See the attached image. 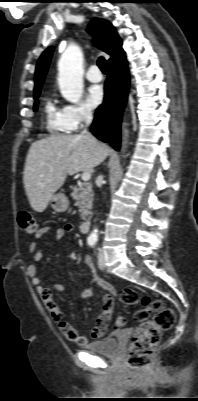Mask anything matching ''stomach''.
Here are the masks:
<instances>
[{"label":"stomach","instance_id":"1","mask_svg":"<svg viewBox=\"0 0 198 401\" xmlns=\"http://www.w3.org/2000/svg\"><path fill=\"white\" fill-rule=\"evenodd\" d=\"M51 207L56 212H65L69 206V200L64 193H57L52 196L51 200Z\"/></svg>","mask_w":198,"mask_h":401}]
</instances>
